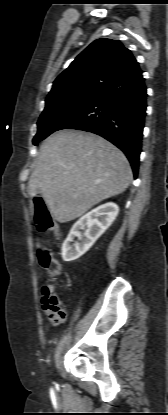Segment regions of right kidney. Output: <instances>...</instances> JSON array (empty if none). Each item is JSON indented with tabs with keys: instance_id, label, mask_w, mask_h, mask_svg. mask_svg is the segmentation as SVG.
I'll return each instance as SVG.
<instances>
[{
	"instance_id": "ca27d5eb",
	"label": "right kidney",
	"mask_w": 168,
	"mask_h": 415,
	"mask_svg": "<svg viewBox=\"0 0 168 415\" xmlns=\"http://www.w3.org/2000/svg\"><path fill=\"white\" fill-rule=\"evenodd\" d=\"M119 212L112 202L98 206L82 216L71 228L62 245V258L66 262L74 261L85 254L97 239L111 226ZM81 230H85L83 237ZM74 237L80 242L71 245Z\"/></svg>"
}]
</instances>
